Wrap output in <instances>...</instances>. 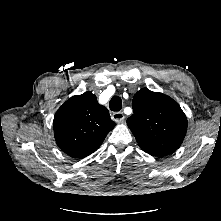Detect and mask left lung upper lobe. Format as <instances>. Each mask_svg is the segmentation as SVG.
<instances>
[{"label": "left lung upper lobe", "mask_w": 221, "mask_h": 221, "mask_svg": "<svg viewBox=\"0 0 221 221\" xmlns=\"http://www.w3.org/2000/svg\"><path fill=\"white\" fill-rule=\"evenodd\" d=\"M133 112L127 124L143 151L165 156L180 147L187 118L171 97L142 88L133 97Z\"/></svg>", "instance_id": "obj_1"}]
</instances>
